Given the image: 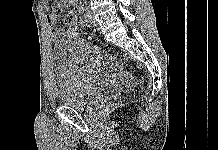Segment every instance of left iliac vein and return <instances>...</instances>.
<instances>
[{"instance_id": "left-iliac-vein-1", "label": "left iliac vein", "mask_w": 218, "mask_h": 150, "mask_svg": "<svg viewBox=\"0 0 218 150\" xmlns=\"http://www.w3.org/2000/svg\"><path fill=\"white\" fill-rule=\"evenodd\" d=\"M86 16H87V20L88 22L94 26L97 27L98 26V21L94 18L93 14L90 11L86 12Z\"/></svg>"}]
</instances>
